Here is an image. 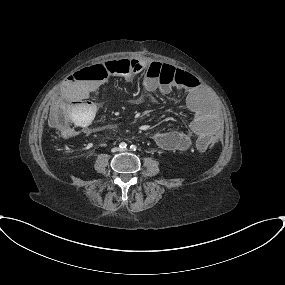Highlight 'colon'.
<instances>
[{"label":"colon","mask_w":285,"mask_h":285,"mask_svg":"<svg viewBox=\"0 0 285 285\" xmlns=\"http://www.w3.org/2000/svg\"><path fill=\"white\" fill-rule=\"evenodd\" d=\"M138 69L139 65L133 63L131 60H114L85 68L79 73L78 78L81 80H100L108 75L129 78L135 75ZM148 74L162 85L170 88L184 83V75L180 70L163 66L160 63H154L148 70ZM73 114L78 116L75 112H73ZM79 120L80 126L86 127L91 123L92 116L89 115L86 118L79 117ZM49 126L61 134L72 133L74 126L71 122L70 112L66 106L57 104L52 108ZM214 143V137L210 134H206L201 138V149H209Z\"/></svg>","instance_id":"obj_1"}]
</instances>
